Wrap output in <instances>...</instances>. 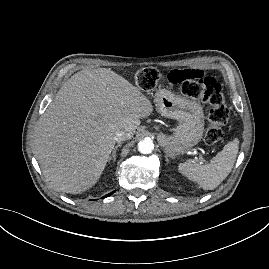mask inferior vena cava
<instances>
[{
	"label": "inferior vena cava",
	"mask_w": 269,
	"mask_h": 269,
	"mask_svg": "<svg viewBox=\"0 0 269 269\" xmlns=\"http://www.w3.org/2000/svg\"><path fill=\"white\" fill-rule=\"evenodd\" d=\"M128 138V134L125 130H117L114 134V140L116 142L125 141Z\"/></svg>",
	"instance_id": "inferior-vena-cava-1"
}]
</instances>
